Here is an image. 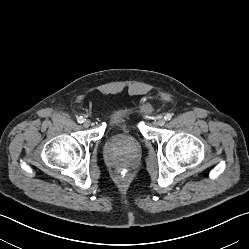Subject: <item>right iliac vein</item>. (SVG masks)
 Masks as SVG:
<instances>
[{
    "label": "right iliac vein",
    "instance_id": "obj_1",
    "mask_svg": "<svg viewBox=\"0 0 249 249\" xmlns=\"http://www.w3.org/2000/svg\"><path fill=\"white\" fill-rule=\"evenodd\" d=\"M90 124H91V121L89 119H86L83 122V126L86 127V128H88L90 126Z\"/></svg>",
    "mask_w": 249,
    "mask_h": 249
}]
</instances>
